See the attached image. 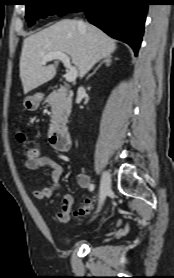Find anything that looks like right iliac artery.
I'll list each match as a JSON object with an SVG mask.
<instances>
[{
    "mask_svg": "<svg viewBox=\"0 0 174 278\" xmlns=\"http://www.w3.org/2000/svg\"><path fill=\"white\" fill-rule=\"evenodd\" d=\"M94 188H95V185H94V184H92V186H91L90 190H91V191H93V190H94Z\"/></svg>",
    "mask_w": 174,
    "mask_h": 278,
    "instance_id": "obj_1",
    "label": "right iliac artery"
}]
</instances>
